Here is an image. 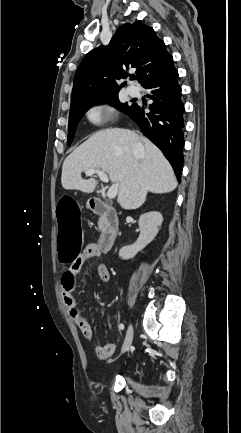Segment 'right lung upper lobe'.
<instances>
[{
	"label": "right lung upper lobe",
	"mask_w": 241,
	"mask_h": 433,
	"mask_svg": "<svg viewBox=\"0 0 241 433\" xmlns=\"http://www.w3.org/2000/svg\"><path fill=\"white\" fill-rule=\"evenodd\" d=\"M172 62L173 57L152 27L141 22L124 24L109 45L93 49L81 61L74 78L71 106L118 93L121 87L114 79L127 78L131 68L136 69L138 81L144 85Z\"/></svg>",
	"instance_id": "obj_1"
}]
</instances>
